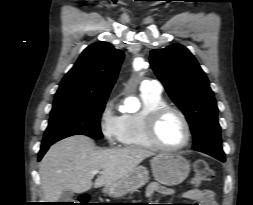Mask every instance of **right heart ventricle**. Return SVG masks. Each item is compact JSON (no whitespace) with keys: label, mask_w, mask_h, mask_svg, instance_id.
Returning a JSON list of instances; mask_svg holds the SVG:
<instances>
[{"label":"right heart ventricle","mask_w":253,"mask_h":205,"mask_svg":"<svg viewBox=\"0 0 253 205\" xmlns=\"http://www.w3.org/2000/svg\"><path fill=\"white\" fill-rule=\"evenodd\" d=\"M143 106L140 111L122 116L120 144L129 148H155L146 135V121L151 111L167 105L161 93L141 91Z\"/></svg>","instance_id":"1"}]
</instances>
